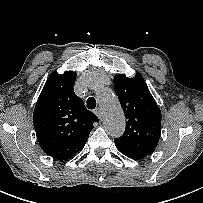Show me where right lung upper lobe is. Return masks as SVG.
<instances>
[{
  "mask_svg": "<svg viewBox=\"0 0 203 203\" xmlns=\"http://www.w3.org/2000/svg\"><path fill=\"white\" fill-rule=\"evenodd\" d=\"M76 73L53 72L36 103L33 124L42 150L57 160L70 159L85 145L99 119L73 90Z\"/></svg>",
  "mask_w": 203,
  "mask_h": 203,
  "instance_id": "obj_1",
  "label": "right lung upper lobe"
}]
</instances>
